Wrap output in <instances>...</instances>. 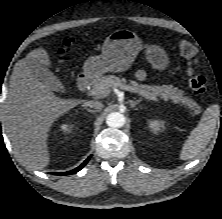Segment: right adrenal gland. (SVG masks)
Instances as JSON below:
<instances>
[{
    "label": "right adrenal gland",
    "instance_id": "right-adrenal-gland-1",
    "mask_svg": "<svg viewBox=\"0 0 222 219\" xmlns=\"http://www.w3.org/2000/svg\"><path fill=\"white\" fill-rule=\"evenodd\" d=\"M88 112H91V113H95L97 112V110H92V109H89V108H85Z\"/></svg>",
    "mask_w": 222,
    "mask_h": 219
}]
</instances>
